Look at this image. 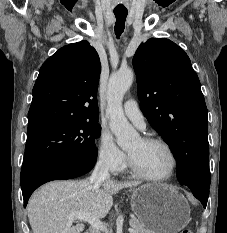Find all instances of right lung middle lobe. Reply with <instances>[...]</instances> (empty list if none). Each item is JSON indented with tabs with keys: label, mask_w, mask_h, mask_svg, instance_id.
Listing matches in <instances>:
<instances>
[{
	"label": "right lung middle lobe",
	"mask_w": 227,
	"mask_h": 233,
	"mask_svg": "<svg viewBox=\"0 0 227 233\" xmlns=\"http://www.w3.org/2000/svg\"><path fill=\"white\" fill-rule=\"evenodd\" d=\"M100 132L98 121L80 120L28 134L22 169L57 157L93 160L97 156L94 141Z\"/></svg>",
	"instance_id": "dd1d6c3e"
}]
</instances>
